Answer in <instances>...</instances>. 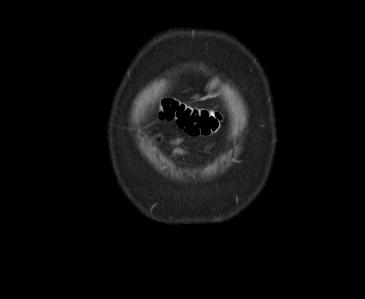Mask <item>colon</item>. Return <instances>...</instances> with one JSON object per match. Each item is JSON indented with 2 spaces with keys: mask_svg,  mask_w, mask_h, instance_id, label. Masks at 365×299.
Returning a JSON list of instances; mask_svg holds the SVG:
<instances>
[{
  "mask_svg": "<svg viewBox=\"0 0 365 299\" xmlns=\"http://www.w3.org/2000/svg\"><path fill=\"white\" fill-rule=\"evenodd\" d=\"M161 121L174 122L192 136L214 133L220 124V113L213 109L194 108L175 99H164L159 112Z\"/></svg>",
  "mask_w": 365,
  "mask_h": 299,
  "instance_id": "5ec220e1",
  "label": "colon"
}]
</instances>
